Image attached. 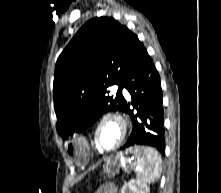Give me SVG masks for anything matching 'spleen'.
Masks as SVG:
<instances>
[{"mask_svg": "<svg viewBox=\"0 0 221 193\" xmlns=\"http://www.w3.org/2000/svg\"><path fill=\"white\" fill-rule=\"evenodd\" d=\"M131 151H135L138 179L145 183L157 181L162 171V160L158 152L152 146H131Z\"/></svg>", "mask_w": 221, "mask_h": 193, "instance_id": "obj_1", "label": "spleen"}]
</instances>
